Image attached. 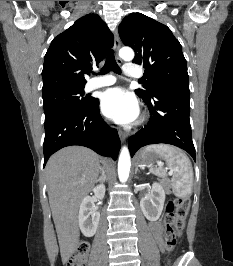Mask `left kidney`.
Returning <instances> with one entry per match:
<instances>
[{"label":"left kidney","mask_w":233,"mask_h":266,"mask_svg":"<svg viewBox=\"0 0 233 266\" xmlns=\"http://www.w3.org/2000/svg\"><path fill=\"white\" fill-rule=\"evenodd\" d=\"M165 201V190L160 183H153L151 192L140 201V207L144 216L149 221L159 219Z\"/></svg>","instance_id":"obj_1"}]
</instances>
